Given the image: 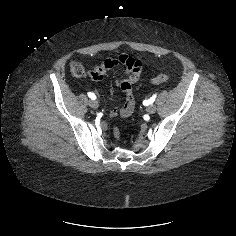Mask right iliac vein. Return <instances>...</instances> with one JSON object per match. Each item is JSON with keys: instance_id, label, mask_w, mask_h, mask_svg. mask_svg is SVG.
I'll return each instance as SVG.
<instances>
[{"instance_id": "1", "label": "right iliac vein", "mask_w": 236, "mask_h": 236, "mask_svg": "<svg viewBox=\"0 0 236 236\" xmlns=\"http://www.w3.org/2000/svg\"><path fill=\"white\" fill-rule=\"evenodd\" d=\"M89 105H90V107L93 108V109H97V108L99 107V103H98L97 100H90V101H89Z\"/></svg>"}]
</instances>
